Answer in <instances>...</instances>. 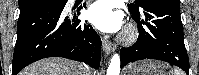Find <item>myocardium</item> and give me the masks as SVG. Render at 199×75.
Wrapping results in <instances>:
<instances>
[{
  "label": "myocardium",
  "instance_id": "myocardium-1",
  "mask_svg": "<svg viewBox=\"0 0 199 75\" xmlns=\"http://www.w3.org/2000/svg\"><path fill=\"white\" fill-rule=\"evenodd\" d=\"M136 39V32L132 27L127 28L122 36V41L126 44L132 43Z\"/></svg>",
  "mask_w": 199,
  "mask_h": 75
}]
</instances>
